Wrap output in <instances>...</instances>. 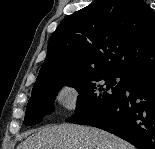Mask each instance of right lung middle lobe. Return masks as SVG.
Here are the masks:
<instances>
[{
	"label": "right lung middle lobe",
	"mask_w": 155,
	"mask_h": 149,
	"mask_svg": "<svg viewBox=\"0 0 155 149\" xmlns=\"http://www.w3.org/2000/svg\"><path fill=\"white\" fill-rule=\"evenodd\" d=\"M119 78L120 81L116 82ZM126 75L95 71L64 72L35 83L29 99L24 124L41 122L53 111L57 91L64 85L75 87L79 92L76 116L67 119L71 123H84L101 114L123 92Z\"/></svg>",
	"instance_id": "1"
}]
</instances>
